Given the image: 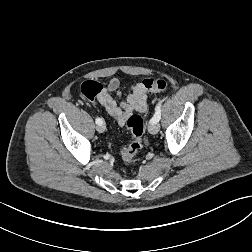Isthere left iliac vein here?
Returning <instances> with one entry per match:
<instances>
[{"label": "left iliac vein", "mask_w": 252, "mask_h": 252, "mask_svg": "<svg viewBox=\"0 0 252 252\" xmlns=\"http://www.w3.org/2000/svg\"><path fill=\"white\" fill-rule=\"evenodd\" d=\"M160 126L157 123H150L148 126V130L151 134L158 133Z\"/></svg>", "instance_id": "4c4485c4"}]
</instances>
